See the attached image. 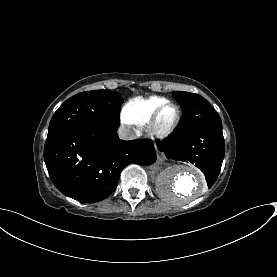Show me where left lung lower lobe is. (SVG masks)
<instances>
[{
  "instance_id": "left-lung-lower-lobe-1",
  "label": "left lung lower lobe",
  "mask_w": 277,
  "mask_h": 277,
  "mask_svg": "<svg viewBox=\"0 0 277 277\" xmlns=\"http://www.w3.org/2000/svg\"><path fill=\"white\" fill-rule=\"evenodd\" d=\"M156 143L168 159L195 164L204 173L209 188L215 183L225 153L222 124L177 131Z\"/></svg>"
}]
</instances>
